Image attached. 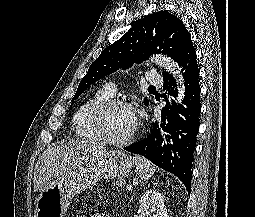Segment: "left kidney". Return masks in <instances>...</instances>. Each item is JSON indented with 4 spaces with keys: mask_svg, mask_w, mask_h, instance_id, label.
<instances>
[{
    "mask_svg": "<svg viewBox=\"0 0 255 217\" xmlns=\"http://www.w3.org/2000/svg\"><path fill=\"white\" fill-rule=\"evenodd\" d=\"M164 201L163 193L154 189L147 190L141 196L138 217H168Z\"/></svg>",
    "mask_w": 255,
    "mask_h": 217,
    "instance_id": "5707ae66",
    "label": "left kidney"
}]
</instances>
